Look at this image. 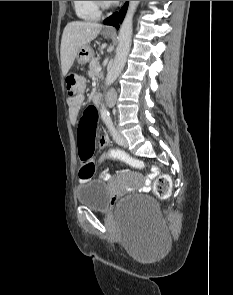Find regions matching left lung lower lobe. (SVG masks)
<instances>
[{
  "label": "left lung lower lobe",
  "mask_w": 233,
  "mask_h": 295,
  "mask_svg": "<svg viewBox=\"0 0 233 295\" xmlns=\"http://www.w3.org/2000/svg\"><path fill=\"white\" fill-rule=\"evenodd\" d=\"M127 6H128V2L123 6V8L119 11V13L116 12V13L112 14L110 17L105 19L103 21V23L106 24V25H113L116 28H118L119 27V22H122V20H123V18L125 16Z\"/></svg>",
  "instance_id": "0a47b994"
}]
</instances>
